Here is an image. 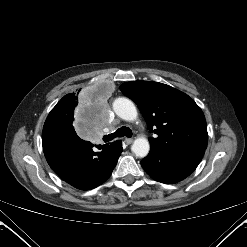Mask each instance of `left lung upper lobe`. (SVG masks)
Returning a JSON list of instances; mask_svg holds the SVG:
<instances>
[{
	"instance_id": "1",
	"label": "left lung upper lobe",
	"mask_w": 247,
	"mask_h": 247,
	"mask_svg": "<svg viewBox=\"0 0 247 247\" xmlns=\"http://www.w3.org/2000/svg\"><path fill=\"white\" fill-rule=\"evenodd\" d=\"M120 89L137 104L150 132L157 134L156 138H149L151 147L206 149V120L188 95L163 83L140 80L126 82Z\"/></svg>"
}]
</instances>
